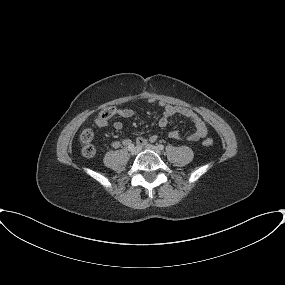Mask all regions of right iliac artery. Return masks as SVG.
<instances>
[{"mask_svg": "<svg viewBox=\"0 0 285 285\" xmlns=\"http://www.w3.org/2000/svg\"><path fill=\"white\" fill-rule=\"evenodd\" d=\"M127 148H128V150H132L134 148V144L132 142H129L127 144Z\"/></svg>", "mask_w": 285, "mask_h": 285, "instance_id": "right-iliac-artery-1", "label": "right iliac artery"}]
</instances>
